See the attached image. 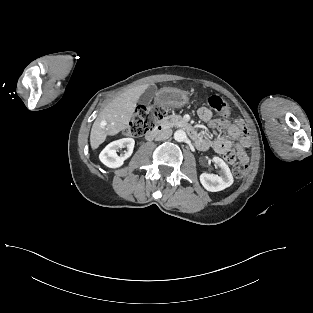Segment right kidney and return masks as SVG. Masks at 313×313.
<instances>
[{"instance_id": "obj_1", "label": "right kidney", "mask_w": 313, "mask_h": 313, "mask_svg": "<svg viewBox=\"0 0 313 313\" xmlns=\"http://www.w3.org/2000/svg\"><path fill=\"white\" fill-rule=\"evenodd\" d=\"M135 141L133 138H123L109 143L99 154L100 161L109 168H118L123 165L125 159L131 156ZM126 147L124 156H118L117 150Z\"/></svg>"}]
</instances>
